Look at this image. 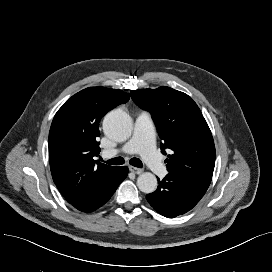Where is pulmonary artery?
<instances>
[{"mask_svg": "<svg viewBox=\"0 0 272 272\" xmlns=\"http://www.w3.org/2000/svg\"><path fill=\"white\" fill-rule=\"evenodd\" d=\"M119 153H139L155 175L163 177L166 174V166L155 149L154 128L148 112L143 111L138 114L133 135L126 144L118 149L104 151L105 156H114Z\"/></svg>", "mask_w": 272, "mask_h": 272, "instance_id": "pulmonary-artery-1", "label": "pulmonary artery"}]
</instances>
